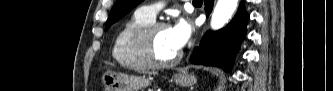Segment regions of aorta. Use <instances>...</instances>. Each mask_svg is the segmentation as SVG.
I'll return each instance as SVG.
<instances>
[{
  "label": "aorta",
  "instance_id": "obj_1",
  "mask_svg": "<svg viewBox=\"0 0 333 91\" xmlns=\"http://www.w3.org/2000/svg\"><path fill=\"white\" fill-rule=\"evenodd\" d=\"M237 4L238 0H218L211 18L212 29L222 28L232 17Z\"/></svg>",
  "mask_w": 333,
  "mask_h": 91
}]
</instances>
